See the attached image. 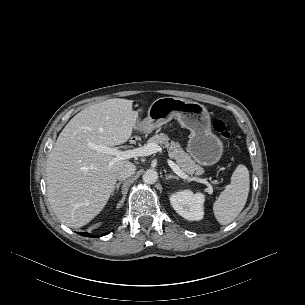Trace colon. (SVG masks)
Segmentation results:
<instances>
[{"instance_id": "5ec220e1", "label": "colon", "mask_w": 305, "mask_h": 305, "mask_svg": "<svg viewBox=\"0 0 305 305\" xmlns=\"http://www.w3.org/2000/svg\"><path fill=\"white\" fill-rule=\"evenodd\" d=\"M213 129L218 134H220L224 139H226L228 141L231 139V134L223 120H221V119L214 120Z\"/></svg>"}]
</instances>
